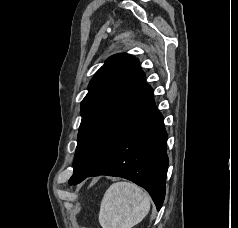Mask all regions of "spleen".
I'll return each instance as SVG.
<instances>
[{
  "mask_svg": "<svg viewBox=\"0 0 238 228\" xmlns=\"http://www.w3.org/2000/svg\"><path fill=\"white\" fill-rule=\"evenodd\" d=\"M150 196L130 182L113 183L105 192L100 205L99 223L102 228H132L150 210Z\"/></svg>",
  "mask_w": 238,
  "mask_h": 228,
  "instance_id": "obj_1",
  "label": "spleen"
}]
</instances>
